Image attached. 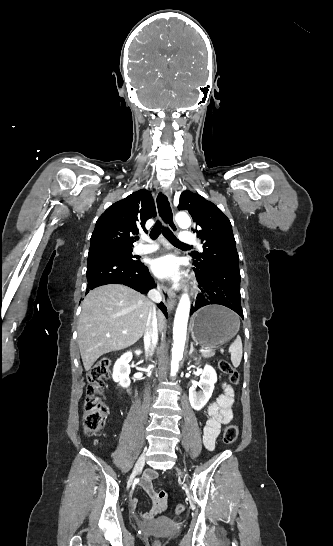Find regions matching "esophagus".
<instances>
[{
    "mask_svg": "<svg viewBox=\"0 0 333 546\" xmlns=\"http://www.w3.org/2000/svg\"><path fill=\"white\" fill-rule=\"evenodd\" d=\"M156 208L163 222L174 232L178 231V227L174 219V211L171 204L170 194L167 191L159 190L156 195ZM162 295L164 303L169 309H172L177 300V295L170 288L162 285Z\"/></svg>",
    "mask_w": 333,
    "mask_h": 546,
    "instance_id": "obj_1",
    "label": "esophagus"
}]
</instances>
